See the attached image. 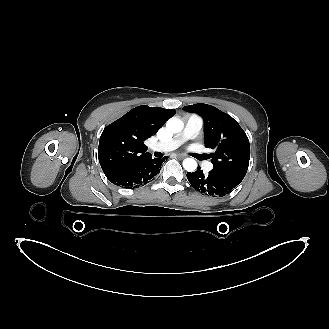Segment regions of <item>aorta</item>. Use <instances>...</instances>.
<instances>
[{
	"label": "aorta",
	"instance_id": "aorta-1",
	"mask_svg": "<svg viewBox=\"0 0 329 329\" xmlns=\"http://www.w3.org/2000/svg\"><path fill=\"white\" fill-rule=\"evenodd\" d=\"M184 123L178 118H171L166 123V128L172 133H178L183 130ZM183 168L188 172H194L197 169V162L193 158H186L183 161Z\"/></svg>",
	"mask_w": 329,
	"mask_h": 329
}]
</instances>
